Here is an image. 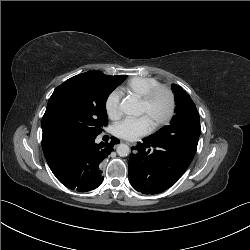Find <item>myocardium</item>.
Masks as SVG:
<instances>
[{
    "mask_svg": "<svg viewBox=\"0 0 250 250\" xmlns=\"http://www.w3.org/2000/svg\"><path fill=\"white\" fill-rule=\"evenodd\" d=\"M165 94L168 100V109L166 114L153 122L154 128H160L165 125H167L173 118L175 111H176V97L173 92V90L165 85H159L151 90H149L145 95L141 97V103L144 104L145 106H149L153 100L159 95V94Z\"/></svg>",
    "mask_w": 250,
    "mask_h": 250,
    "instance_id": "obj_1",
    "label": "myocardium"
}]
</instances>
